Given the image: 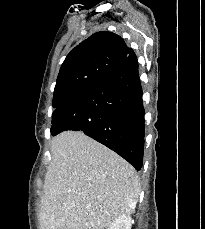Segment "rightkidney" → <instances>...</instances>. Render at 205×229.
Segmentation results:
<instances>
[{
  "mask_svg": "<svg viewBox=\"0 0 205 229\" xmlns=\"http://www.w3.org/2000/svg\"><path fill=\"white\" fill-rule=\"evenodd\" d=\"M132 219L130 216H119L107 229H131Z\"/></svg>",
  "mask_w": 205,
  "mask_h": 229,
  "instance_id": "obj_1",
  "label": "right kidney"
}]
</instances>
